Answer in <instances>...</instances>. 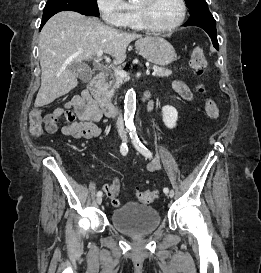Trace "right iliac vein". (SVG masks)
<instances>
[{"label": "right iliac vein", "instance_id": "obj_1", "mask_svg": "<svg viewBox=\"0 0 261 273\" xmlns=\"http://www.w3.org/2000/svg\"><path fill=\"white\" fill-rule=\"evenodd\" d=\"M96 201L100 205L102 203V196L97 197Z\"/></svg>", "mask_w": 261, "mask_h": 273}]
</instances>
